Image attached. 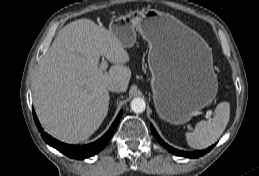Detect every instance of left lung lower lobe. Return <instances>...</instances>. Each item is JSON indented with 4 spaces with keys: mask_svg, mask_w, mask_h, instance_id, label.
<instances>
[{
    "mask_svg": "<svg viewBox=\"0 0 259 176\" xmlns=\"http://www.w3.org/2000/svg\"><path fill=\"white\" fill-rule=\"evenodd\" d=\"M151 131L152 134L157 138V140L172 154L178 155V156H184V157H189V158H197L200 156H203L204 154H206L207 152H209L212 147H209L206 150H202V151H196V152H183L177 149H174L173 147L169 146L168 144H166L158 135V133L156 132L155 128L151 125Z\"/></svg>",
    "mask_w": 259,
    "mask_h": 176,
    "instance_id": "left-lung-lower-lobe-1",
    "label": "left lung lower lobe"
}]
</instances>
